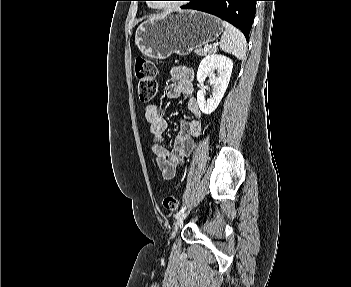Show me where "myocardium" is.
<instances>
[{
  "label": "myocardium",
  "instance_id": "obj_1",
  "mask_svg": "<svg viewBox=\"0 0 351 287\" xmlns=\"http://www.w3.org/2000/svg\"><path fill=\"white\" fill-rule=\"evenodd\" d=\"M158 8H164L162 5H156Z\"/></svg>",
  "mask_w": 351,
  "mask_h": 287
}]
</instances>
